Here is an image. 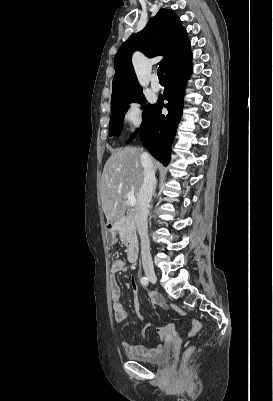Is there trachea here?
Returning a JSON list of instances; mask_svg holds the SVG:
<instances>
[{
	"mask_svg": "<svg viewBox=\"0 0 273 401\" xmlns=\"http://www.w3.org/2000/svg\"><path fill=\"white\" fill-rule=\"evenodd\" d=\"M157 76H158L159 81H165L164 69H163L162 65H160L158 67Z\"/></svg>",
	"mask_w": 273,
	"mask_h": 401,
	"instance_id": "obj_1",
	"label": "trachea"
}]
</instances>
